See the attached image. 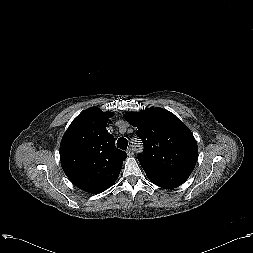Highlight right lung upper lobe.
Listing matches in <instances>:
<instances>
[{
  "label": "right lung upper lobe",
  "instance_id": "1",
  "mask_svg": "<svg viewBox=\"0 0 253 253\" xmlns=\"http://www.w3.org/2000/svg\"><path fill=\"white\" fill-rule=\"evenodd\" d=\"M112 113L91 107L78 115L60 144V160L67 177L83 191L98 194L118 178L126 152L115 146L106 130Z\"/></svg>",
  "mask_w": 253,
  "mask_h": 253
}]
</instances>
